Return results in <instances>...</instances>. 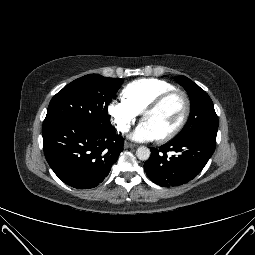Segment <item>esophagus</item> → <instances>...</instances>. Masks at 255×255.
<instances>
[{
  "mask_svg": "<svg viewBox=\"0 0 255 255\" xmlns=\"http://www.w3.org/2000/svg\"><path fill=\"white\" fill-rule=\"evenodd\" d=\"M136 145L129 143V142H124V148H134Z\"/></svg>",
  "mask_w": 255,
  "mask_h": 255,
  "instance_id": "34e87169",
  "label": "esophagus"
}]
</instances>
